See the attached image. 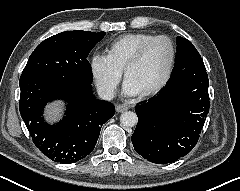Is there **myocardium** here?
I'll return each mask as SVG.
<instances>
[{"label": "myocardium", "mask_w": 240, "mask_h": 191, "mask_svg": "<svg viewBox=\"0 0 240 191\" xmlns=\"http://www.w3.org/2000/svg\"><path fill=\"white\" fill-rule=\"evenodd\" d=\"M159 40H164L169 44L170 47V61L166 70V73L163 77V79L153 88L148 89L144 92H141L140 95L142 97H148V96H152L155 95L157 93H159L169 82L174 66H175V62H176V47L175 44L173 42V40L166 36V35H157L152 37L151 39H149L148 41H146L138 50L137 52L133 55V57L127 62V64L125 65L124 69H123V73L125 78H127V74L128 72L135 67L136 65H138L142 59L144 58L147 50L149 49V47L156 41Z\"/></svg>", "instance_id": "obj_1"}]
</instances>
